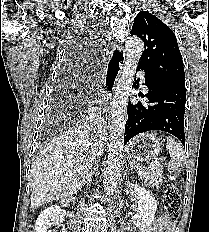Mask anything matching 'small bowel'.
<instances>
[{"instance_id":"1","label":"small bowel","mask_w":209,"mask_h":232,"mask_svg":"<svg viewBox=\"0 0 209 232\" xmlns=\"http://www.w3.org/2000/svg\"><path fill=\"white\" fill-rule=\"evenodd\" d=\"M173 224L158 218L146 232H172Z\"/></svg>"}]
</instances>
